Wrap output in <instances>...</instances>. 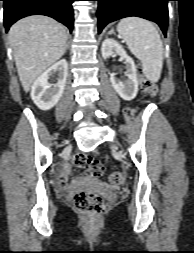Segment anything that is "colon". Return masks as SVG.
<instances>
[{
	"label": "colon",
	"mask_w": 194,
	"mask_h": 253,
	"mask_svg": "<svg viewBox=\"0 0 194 253\" xmlns=\"http://www.w3.org/2000/svg\"><path fill=\"white\" fill-rule=\"evenodd\" d=\"M141 86L143 91L151 97H154L158 92L157 85L152 82L150 78H142ZM136 111V108L124 109V125H131V123L134 122L133 116ZM73 161L76 166L86 168V171L90 176L102 177L105 174L104 166L99 161L91 159L86 154L79 153L75 155ZM108 179L111 184L118 185L122 182L123 175L119 171H114L109 175ZM73 204L79 211L91 215L101 214L106 207V203L101 196L84 191L75 194Z\"/></svg>",
	"instance_id": "5ec220e1"
}]
</instances>
